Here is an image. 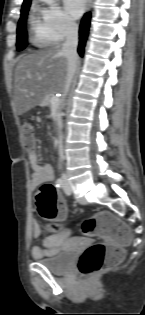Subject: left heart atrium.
Returning a JSON list of instances; mask_svg holds the SVG:
<instances>
[{
    "instance_id": "obj_1",
    "label": "left heart atrium",
    "mask_w": 145,
    "mask_h": 315,
    "mask_svg": "<svg viewBox=\"0 0 145 315\" xmlns=\"http://www.w3.org/2000/svg\"><path fill=\"white\" fill-rule=\"evenodd\" d=\"M64 1V7L66 12L72 17V18H78L81 16L86 0H63Z\"/></svg>"
}]
</instances>
